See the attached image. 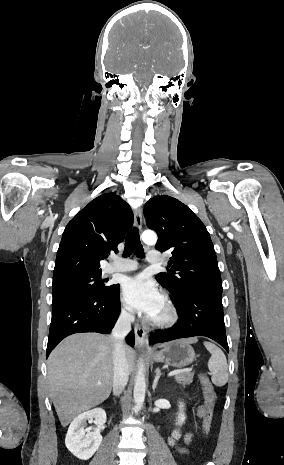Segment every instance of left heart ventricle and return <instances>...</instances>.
<instances>
[{"label": "left heart ventricle", "mask_w": 284, "mask_h": 465, "mask_svg": "<svg viewBox=\"0 0 284 465\" xmlns=\"http://www.w3.org/2000/svg\"><path fill=\"white\" fill-rule=\"evenodd\" d=\"M153 318L162 319L165 317V310L163 305L158 308V310L152 315Z\"/></svg>", "instance_id": "obj_1"}]
</instances>
